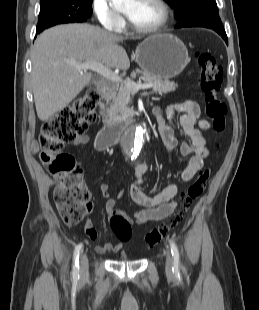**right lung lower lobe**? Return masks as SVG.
I'll return each mask as SVG.
<instances>
[{"label": "right lung lower lobe", "mask_w": 259, "mask_h": 310, "mask_svg": "<svg viewBox=\"0 0 259 310\" xmlns=\"http://www.w3.org/2000/svg\"><path fill=\"white\" fill-rule=\"evenodd\" d=\"M55 25H57V24H55ZM52 26H54V25H52ZM51 27V26H50ZM49 28V27H48ZM40 32H42V31H39V32H37V34H39Z\"/></svg>", "instance_id": "obj_1"}]
</instances>
